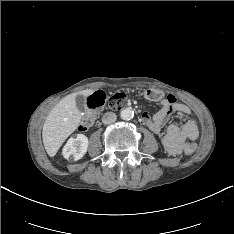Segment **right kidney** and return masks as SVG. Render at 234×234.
<instances>
[{"label":"right kidney","mask_w":234,"mask_h":234,"mask_svg":"<svg viewBox=\"0 0 234 234\" xmlns=\"http://www.w3.org/2000/svg\"><path fill=\"white\" fill-rule=\"evenodd\" d=\"M88 138L83 134H77L76 137H71L65 144L62 154L64 158H73L75 161L81 159L87 152Z\"/></svg>","instance_id":"ca27d5eb"}]
</instances>
